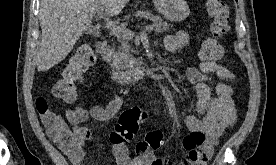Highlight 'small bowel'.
Listing matches in <instances>:
<instances>
[{"instance_id":"1","label":"small bowel","mask_w":276,"mask_h":165,"mask_svg":"<svg viewBox=\"0 0 276 165\" xmlns=\"http://www.w3.org/2000/svg\"><path fill=\"white\" fill-rule=\"evenodd\" d=\"M165 49L174 53L189 43V34L186 31H177L165 38ZM209 75L217 76L220 81L214 86V94L207 84ZM188 80L196 85L197 104L196 115L184 116V124L190 132H201L205 135V143L194 153L187 155L179 165H206L223 133L230 129L237 121V112L233 102V89L230 82L235 80L234 73L216 61H202L199 67L186 68ZM122 105L120 96L112 98L105 106L93 105L89 109L75 106L66 112L69 122L73 125L75 142L68 147L59 143L62 152L73 165H90L89 158L84 152V145L88 141H98L100 136L95 135L88 127L82 126L90 119L107 123L111 121ZM48 134V121L41 117ZM63 121V120H62ZM66 127V124L63 122ZM67 128V127H66ZM113 153L117 165H166L172 164L168 159L156 157L154 153H140L132 158L126 143L114 144Z\"/></svg>"}]
</instances>
